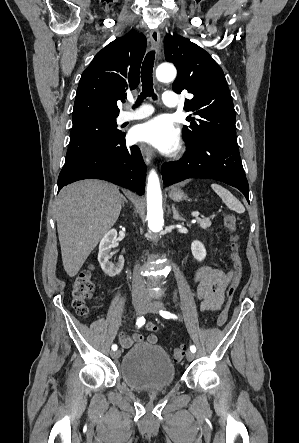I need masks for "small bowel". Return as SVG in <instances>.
Listing matches in <instances>:
<instances>
[{
  "instance_id": "1",
  "label": "small bowel",
  "mask_w": 299,
  "mask_h": 443,
  "mask_svg": "<svg viewBox=\"0 0 299 443\" xmlns=\"http://www.w3.org/2000/svg\"><path fill=\"white\" fill-rule=\"evenodd\" d=\"M231 276V272L210 266H203L194 272L193 282L196 286L197 297L202 311L220 310L224 301L225 289L230 282ZM145 328L151 332L147 336L137 333L126 335L124 332H121L119 336L121 346L129 348L134 343L141 342L156 344L158 338L155 332L159 331V326L154 323H147Z\"/></svg>"
}]
</instances>
